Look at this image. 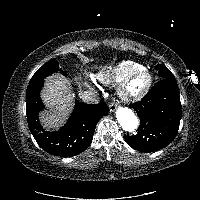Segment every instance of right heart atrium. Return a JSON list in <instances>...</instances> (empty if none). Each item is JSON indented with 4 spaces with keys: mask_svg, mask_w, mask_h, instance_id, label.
Instances as JSON below:
<instances>
[{
    "mask_svg": "<svg viewBox=\"0 0 200 200\" xmlns=\"http://www.w3.org/2000/svg\"><path fill=\"white\" fill-rule=\"evenodd\" d=\"M85 83L88 87H97V84L91 79L85 78Z\"/></svg>",
    "mask_w": 200,
    "mask_h": 200,
    "instance_id": "d8ad5b80",
    "label": "right heart atrium"
}]
</instances>
